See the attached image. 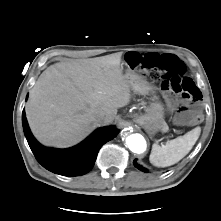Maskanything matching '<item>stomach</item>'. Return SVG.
Returning <instances> with one entry per match:
<instances>
[{
  "instance_id": "obj_1",
  "label": "stomach",
  "mask_w": 221,
  "mask_h": 221,
  "mask_svg": "<svg viewBox=\"0 0 221 221\" xmlns=\"http://www.w3.org/2000/svg\"><path fill=\"white\" fill-rule=\"evenodd\" d=\"M124 76L134 91L142 95L155 93V87L152 86L144 77L138 75L130 66H128ZM164 115V104L154 97L144 114H135L133 117L134 121L138 125L143 127L150 136H153L159 131L167 130Z\"/></svg>"
}]
</instances>
